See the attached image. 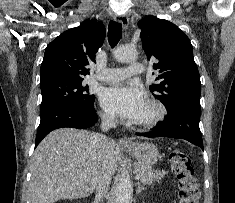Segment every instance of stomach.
Here are the masks:
<instances>
[{"mask_svg": "<svg viewBox=\"0 0 235 203\" xmlns=\"http://www.w3.org/2000/svg\"><path fill=\"white\" fill-rule=\"evenodd\" d=\"M123 149L137 158L142 165L152 166L161 158L158 148L149 142L135 143L132 148L124 147Z\"/></svg>", "mask_w": 235, "mask_h": 203, "instance_id": "1", "label": "stomach"}]
</instances>
